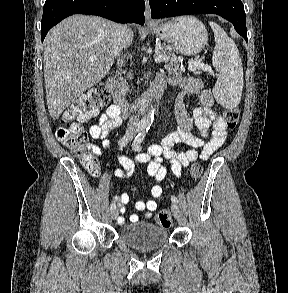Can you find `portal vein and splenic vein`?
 <instances>
[{"label": "portal vein and splenic vein", "mask_w": 288, "mask_h": 293, "mask_svg": "<svg viewBox=\"0 0 288 293\" xmlns=\"http://www.w3.org/2000/svg\"><path fill=\"white\" fill-rule=\"evenodd\" d=\"M96 58V56H91L89 59L90 60H94ZM168 59L167 56H164V55H157L155 57V62L156 63H161V62H164ZM188 69L190 71H196V70H204V71H209V72H212V69L211 67L207 66V65H204V64H200L198 62H195L193 65H189Z\"/></svg>", "instance_id": "obj_1"}]
</instances>
